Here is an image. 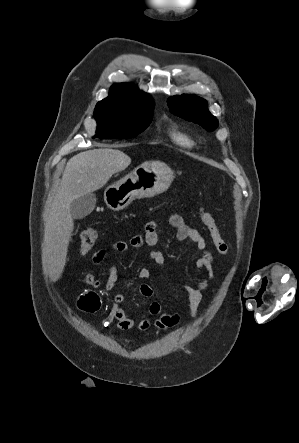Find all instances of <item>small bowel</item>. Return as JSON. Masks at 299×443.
<instances>
[{
  "label": "small bowel",
  "mask_w": 299,
  "mask_h": 443,
  "mask_svg": "<svg viewBox=\"0 0 299 443\" xmlns=\"http://www.w3.org/2000/svg\"><path fill=\"white\" fill-rule=\"evenodd\" d=\"M169 225L175 229L176 238L179 241L188 240L195 244L196 248L201 251L200 257L196 261V267L201 273L200 281L194 286H185L188 294L189 316L194 319L197 316L199 306L202 300V292L207 282L213 280V257L207 250L206 241L203 236L195 228L188 226L182 216L174 214L169 218ZM161 229L156 222H149L145 225L142 233L133 236L129 241H116L112 248L117 252H126L129 248H140L142 246H156ZM105 251L101 250L93 255V263L99 265L103 262ZM148 260L155 265L161 266L165 262V258L160 251L152 250L148 253ZM137 276L141 280H149L151 272L146 268L137 271ZM118 280V272L116 267H111L107 280L104 284V290L112 293ZM84 283L91 288L83 292L78 300V306L86 312H97L100 309V298L95 289L99 288L101 281L92 274H87ZM139 292L144 297H152L153 289L148 284H141ZM125 301V295L120 292H113V305L105 319L106 323H115L118 330L137 329L144 335L150 334L152 329L166 331L174 327L179 322V315L176 312H163L159 302H152L149 305V316L141 321H136L128 316L120 306Z\"/></svg>",
  "instance_id": "obj_1"
}]
</instances>
